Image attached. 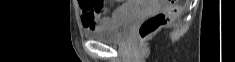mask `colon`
<instances>
[{
	"label": "colon",
	"mask_w": 235,
	"mask_h": 62,
	"mask_svg": "<svg viewBox=\"0 0 235 62\" xmlns=\"http://www.w3.org/2000/svg\"><path fill=\"white\" fill-rule=\"evenodd\" d=\"M168 2L169 5L167 8L142 22L138 30L142 40L149 38L162 27L172 23L181 13L182 7L177 0H169ZM91 5L95 9H100V6L95 2L91 3Z\"/></svg>",
	"instance_id": "colon-1"
}]
</instances>
